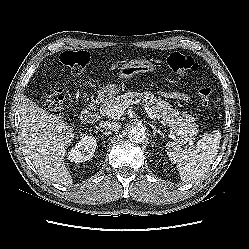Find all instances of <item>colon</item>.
<instances>
[{
  "label": "colon",
  "instance_id": "1",
  "mask_svg": "<svg viewBox=\"0 0 249 249\" xmlns=\"http://www.w3.org/2000/svg\"><path fill=\"white\" fill-rule=\"evenodd\" d=\"M60 62L67 66L72 73H81L90 63V54L86 51H65L60 55ZM168 67L177 74H193L199 69L195 60L179 52H173L167 57ZM212 90L202 87L199 90L200 100L204 106L210 103ZM65 95L62 89L57 88L42 99L43 106L52 113H60L64 107Z\"/></svg>",
  "mask_w": 249,
  "mask_h": 249
}]
</instances>
